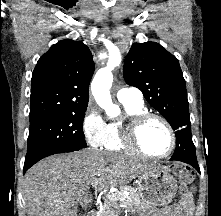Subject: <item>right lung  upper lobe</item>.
Listing matches in <instances>:
<instances>
[{
    "label": "right lung upper lobe",
    "instance_id": "obj_1",
    "mask_svg": "<svg viewBox=\"0 0 221 216\" xmlns=\"http://www.w3.org/2000/svg\"><path fill=\"white\" fill-rule=\"evenodd\" d=\"M94 68L83 42L67 39L53 45L32 74L30 120L87 107Z\"/></svg>",
    "mask_w": 221,
    "mask_h": 216
}]
</instances>
